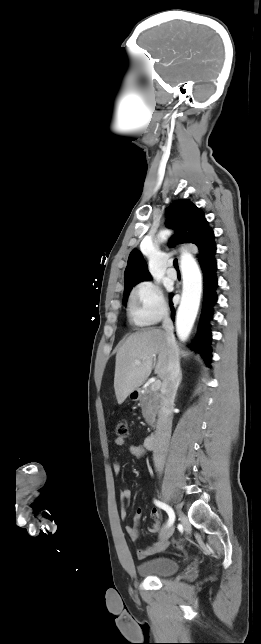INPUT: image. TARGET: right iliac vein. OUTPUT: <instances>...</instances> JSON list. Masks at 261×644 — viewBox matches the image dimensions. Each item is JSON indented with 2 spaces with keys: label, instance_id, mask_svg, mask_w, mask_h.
I'll use <instances>...</instances> for the list:
<instances>
[{
  "label": "right iliac vein",
  "instance_id": "right-iliac-vein-1",
  "mask_svg": "<svg viewBox=\"0 0 261 644\" xmlns=\"http://www.w3.org/2000/svg\"><path fill=\"white\" fill-rule=\"evenodd\" d=\"M173 532H174V527L169 526L168 528H166L165 530H163L161 532L160 538L164 539V540H167L168 538H170L172 536Z\"/></svg>",
  "mask_w": 261,
  "mask_h": 644
}]
</instances>
